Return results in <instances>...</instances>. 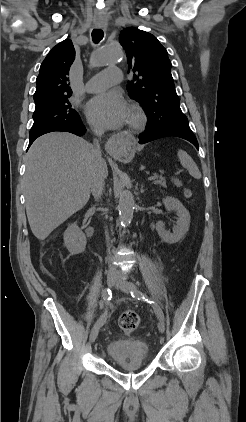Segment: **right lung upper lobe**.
Masks as SVG:
<instances>
[{"label": "right lung upper lobe", "mask_w": 246, "mask_h": 422, "mask_svg": "<svg viewBox=\"0 0 246 422\" xmlns=\"http://www.w3.org/2000/svg\"><path fill=\"white\" fill-rule=\"evenodd\" d=\"M75 59L72 41L66 39L54 46L40 66L34 94L35 109L62 98L70 97L69 69Z\"/></svg>", "instance_id": "right-lung-upper-lobe-1"}]
</instances>
